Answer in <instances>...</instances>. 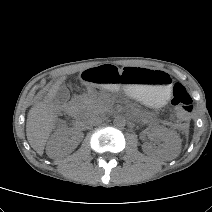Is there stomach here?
<instances>
[{"mask_svg": "<svg viewBox=\"0 0 212 212\" xmlns=\"http://www.w3.org/2000/svg\"><path fill=\"white\" fill-rule=\"evenodd\" d=\"M85 85L99 84L129 94L150 106H163L169 99L171 77L164 71L134 66H112L103 63L99 68L81 74Z\"/></svg>", "mask_w": 212, "mask_h": 212, "instance_id": "1", "label": "stomach"}]
</instances>
